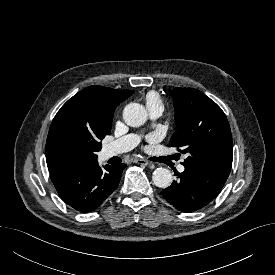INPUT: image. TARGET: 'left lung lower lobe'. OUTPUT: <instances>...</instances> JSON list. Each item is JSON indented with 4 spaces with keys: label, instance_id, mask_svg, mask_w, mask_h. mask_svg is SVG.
<instances>
[{
    "label": "left lung lower lobe",
    "instance_id": "0a47b994",
    "mask_svg": "<svg viewBox=\"0 0 275 275\" xmlns=\"http://www.w3.org/2000/svg\"><path fill=\"white\" fill-rule=\"evenodd\" d=\"M185 166V165H184ZM170 187L161 194L175 208L190 213L208 205L221 191L229 174L204 167L185 166Z\"/></svg>",
    "mask_w": 275,
    "mask_h": 275
}]
</instances>
